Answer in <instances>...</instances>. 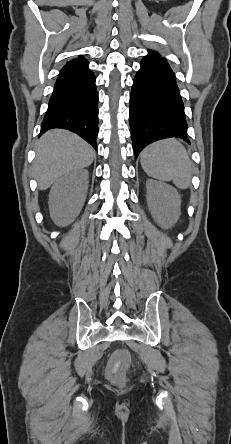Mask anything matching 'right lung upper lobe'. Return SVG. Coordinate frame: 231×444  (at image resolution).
<instances>
[{
  "label": "right lung upper lobe",
  "mask_w": 231,
  "mask_h": 444,
  "mask_svg": "<svg viewBox=\"0 0 231 444\" xmlns=\"http://www.w3.org/2000/svg\"><path fill=\"white\" fill-rule=\"evenodd\" d=\"M87 65L88 61L84 57L79 56L77 59H73L70 62H67V64L62 68L60 73H68L80 70L86 67Z\"/></svg>",
  "instance_id": "1"
}]
</instances>
